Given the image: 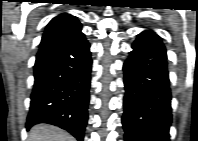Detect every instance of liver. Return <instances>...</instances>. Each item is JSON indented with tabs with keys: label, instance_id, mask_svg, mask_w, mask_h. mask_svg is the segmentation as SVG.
Here are the masks:
<instances>
[{
	"label": "liver",
	"instance_id": "liver-1",
	"mask_svg": "<svg viewBox=\"0 0 198 141\" xmlns=\"http://www.w3.org/2000/svg\"><path fill=\"white\" fill-rule=\"evenodd\" d=\"M28 141H75V139L58 127L38 124L30 129Z\"/></svg>",
	"mask_w": 198,
	"mask_h": 141
}]
</instances>
